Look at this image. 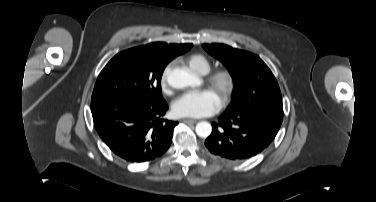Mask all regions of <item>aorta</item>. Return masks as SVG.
<instances>
[{
    "instance_id": "aorta-1",
    "label": "aorta",
    "mask_w": 376,
    "mask_h": 202,
    "mask_svg": "<svg viewBox=\"0 0 376 202\" xmlns=\"http://www.w3.org/2000/svg\"><path fill=\"white\" fill-rule=\"evenodd\" d=\"M168 84L175 89H183L186 87H193L200 83L199 78L184 69H173L167 78ZM212 131V126L209 122L201 121L196 125V134L201 138H207Z\"/></svg>"
}]
</instances>
